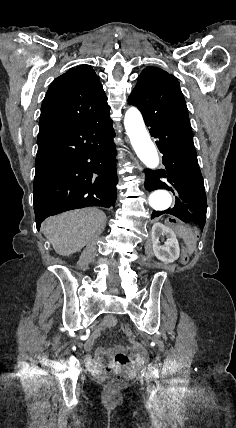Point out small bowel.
Returning <instances> with one entry per match:
<instances>
[{
	"label": "small bowel",
	"instance_id": "small-bowel-1",
	"mask_svg": "<svg viewBox=\"0 0 236 428\" xmlns=\"http://www.w3.org/2000/svg\"><path fill=\"white\" fill-rule=\"evenodd\" d=\"M117 320L112 317H106L101 325L94 330L85 342V348L91 349L94 341L99 337L102 330L114 327ZM144 348L136 342H133L129 349L117 347L115 350L98 348L94 358L87 359L88 366L94 371H101L104 367L103 360H108V365L112 368H134L142 364L145 360Z\"/></svg>",
	"mask_w": 236,
	"mask_h": 428
}]
</instances>
